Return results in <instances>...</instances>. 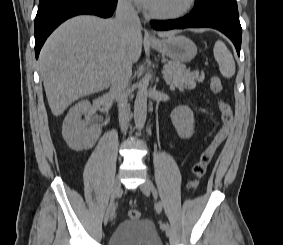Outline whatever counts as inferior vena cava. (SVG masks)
<instances>
[{"instance_id":"inferior-vena-cava-1","label":"inferior vena cava","mask_w":283,"mask_h":245,"mask_svg":"<svg viewBox=\"0 0 283 245\" xmlns=\"http://www.w3.org/2000/svg\"><path fill=\"white\" fill-rule=\"evenodd\" d=\"M115 23L123 38H126L132 27H140L139 17L130 0H118ZM132 74V62L122 58L116 65L111 82L110 94L118 101L119 124L126 132L130 119V107L126 89Z\"/></svg>"}]
</instances>
